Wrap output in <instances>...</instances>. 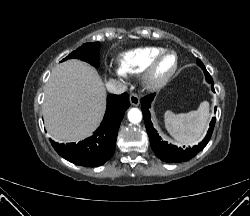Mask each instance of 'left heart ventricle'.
<instances>
[{
    "instance_id": "obj_1",
    "label": "left heart ventricle",
    "mask_w": 250,
    "mask_h": 216,
    "mask_svg": "<svg viewBox=\"0 0 250 216\" xmlns=\"http://www.w3.org/2000/svg\"><path fill=\"white\" fill-rule=\"evenodd\" d=\"M174 57L172 55H168L166 57H164L158 67H157V71L156 74L157 76H164L165 74H167L173 67L174 65Z\"/></svg>"
}]
</instances>
